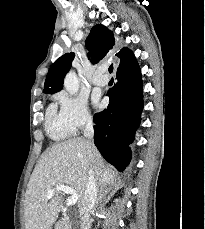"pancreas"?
<instances>
[{
    "label": "pancreas",
    "mask_w": 205,
    "mask_h": 229,
    "mask_svg": "<svg viewBox=\"0 0 205 229\" xmlns=\"http://www.w3.org/2000/svg\"><path fill=\"white\" fill-rule=\"evenodd\" d=\"M55 229H70V225L68 224L66 218H62L56 225Z\"/></svg>",
    "instance_id": "cf45deb5"
}]
</instances>
